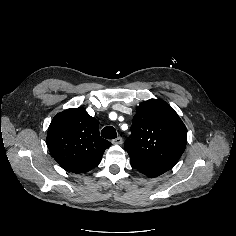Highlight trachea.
<instances>
[{
	"instance_id": "trachea-1",
	"label": "trachea",
	"mask_w": 236,
	"mask_h": 236,
	"mask_svg": "<svg viewBox=\"0 0 236 236\" xmlns=\"http://www.w3.org/2000/svg\"><path fill=\"white\" fill-rule=\"evenodd\" d=\"M101 136L105 139H115L117 137V133L114 127L106 126L102 129Z\"/></svg>"
}]
</instances>
